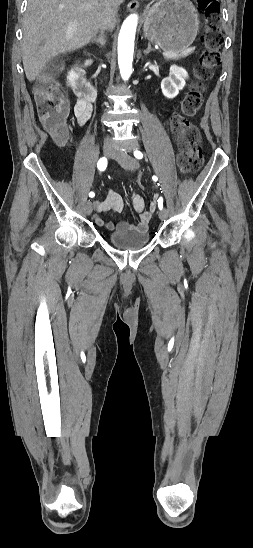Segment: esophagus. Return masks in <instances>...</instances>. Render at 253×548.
Returning <instances> with one entry per match:
<instances>
[{"mask_svg":"<svg viewBox=\"0 0 253 548\" xmlns=\"http://www.w3.org/2000/svg\"><path fill=\"white\" fill-rule=\"evenodd\" d=\"M138 7H139V3L137 0H132L127 5V9L130 12L135 11Z\"/></svg>","mask_w":253,"mask_h":548,"instance_id":"34e87169","label":"esophagus"}]
</instances>
